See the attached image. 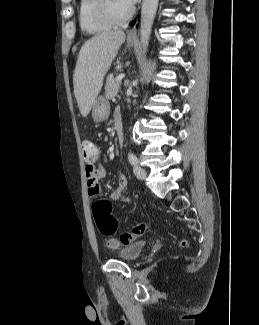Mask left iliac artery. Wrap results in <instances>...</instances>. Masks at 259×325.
<instances>
[{"instance_id": "1", "label": "left iliac artery", "mask_w": 259, "mask_h": 325, "mask_svg": "<svg viewBox=\"0 0 259 325\" xmlns=\"http://www.w3.org/2000/svg\"><path fill=\"white\" fill-rule=\"evenodd\" d=\"M128 160H129L130 164L132 165V161L133 160H138V159H137V157H136V155L134 153L129 152V154H128Z\"/></svg>"}]
</instances>
